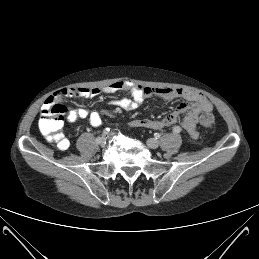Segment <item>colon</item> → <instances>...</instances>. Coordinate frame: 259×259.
Wrapping results in <instances>:
<instances>
[{
  "instance_id": "colon-1",
  "label": "colon",
  "mask_w": 259,
  "mask_h": 259,
  "mask_svg": "<svg viewBox=\"0 0 259 259\" xmlns=\"http://www.w3.org/2000/svg\"><path fill=\"white\" fill-rule=\"evenodd\" d=\"M67 108L55 101H51L40 113L38 127L42 135L48 140L55 142L60 149L68 147V141L63 134L64 117ZM199 122L204 128H211L214 125V116L211 113H204L200 116Z\"/></svg>"
}]
</instances>
